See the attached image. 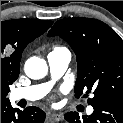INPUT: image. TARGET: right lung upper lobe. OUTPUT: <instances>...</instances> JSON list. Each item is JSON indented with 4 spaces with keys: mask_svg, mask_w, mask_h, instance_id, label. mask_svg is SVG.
Instances as JSON below:
<instances>
[{
    "mask_svg": "<svg viewBox=\"0 0 123 123\" xmlns=\"http://www.w3.org/2000/svg\"><path fill=\"white\" fill-rule=\"evenodd\" d=\"M52 24V21L34 19L1 22V98H6L9 86L18 78L25 47Z\"/></svg>",
    "mask_w": 123,
    "mask_h": 123,
    "instance_id": "cb5924a9",
    "label": "right lung upper lobe"
}]
</instances>
